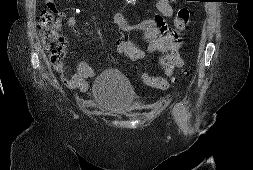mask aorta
<instances>
[{"label":"aorta","instance_id":"obj_1","mask_svg":"<svg viewBox=\"0 0 253 170\" xmlns=\"http://www.w3.org/2000/svg\"><path fill=\"white\" fill-rule=\"evenodd\" d=\"M127 1L130 2V3H131V2H134V0H127Z\"/></svg>","mask_w":253,"mask_h":170}]
</instances>
